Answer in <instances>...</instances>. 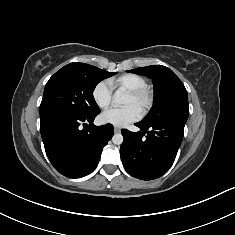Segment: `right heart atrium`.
<instances>
[{"instance_id": "d8ad5b80", "label": "right heart atrium", "mask_w": 235, "mask_h": 235, "mask_svg": "<svg viewBox=\"0 0 235 235\" xmlns=\"http://www.w3.org/2000/svg\"><path fill=\"white\" fill-rule=\"evenodd\" d=\"M113 90L109 81L102 80L98 82L92 90V99L101 109L109 107L112 101Z\"/></svg>"}]
</instances>
